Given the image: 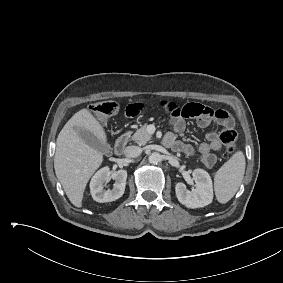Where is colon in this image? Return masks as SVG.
I'll return each instance as SVG.
<instances>
[{"instance_id":"colon-1","label":"colon","mask_w":283,"mask_h":283,"mask_svg":"<svg viewBox=\"0 0 283 283\" xmlns=\"http://www.w3.org/2000/svg\"><path fill=\"white\" fill-rule=\"evenodd\" d=\"M93 115L102 124H106L107 119L119 111V105L115 101H103L95 103L90 107ZM220 142L225 146L229 153H234L237 149V133L232 128H226L220 132Z\"/></svg>"}]
</instances>
